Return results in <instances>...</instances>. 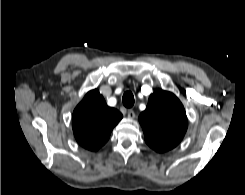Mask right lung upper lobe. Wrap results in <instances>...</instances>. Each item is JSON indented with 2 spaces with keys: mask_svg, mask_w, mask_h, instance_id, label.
Masks as SVG:
<instances>
[{
  "mask_svg": "<svg viewBox=\"0 0 245 195\" xmlns=\"http://www.w3.org/2000/svg\"><path fill=\"white\" fill-rule=\"evenodd\" d=\"M122 114L108 107L97 89L89 91L75 108L72 127L77 142L84 148L96 151L109 139Z\"/></svg>",
  "mask_w": 245,
  "mask_h": 195,
  "instance_id": "1",
  "label": "right lung upper lobe"
}]
</instances>
